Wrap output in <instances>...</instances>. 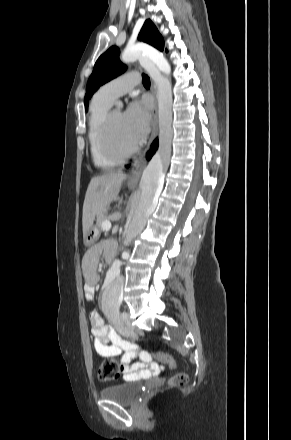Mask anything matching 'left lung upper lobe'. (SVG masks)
<instances>
[{"mask_svg":"<svg viewBox=\"0 0 291 440\" xmlns=\"http://www.w3.org/2000/svg\"><path fill=\"white\" fill-rule=\"evenodd\" d=\"M138 39L154 46L160 51H163L164 49V40L151 20L145 21L138 35ZM125 70L126 66L119 60V49L117 47L112 46L102 54L96 61L93 72L87 83L86 95L84 98L85 108L87 109L89 99L101 85L116 78Z\"/></svg>","mask_w":291,"mask_h":440,"instance_id":"5c2ea615","label":"left lung upper lobe"}]
</instances>
